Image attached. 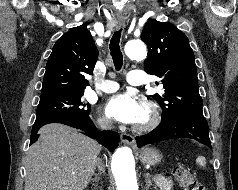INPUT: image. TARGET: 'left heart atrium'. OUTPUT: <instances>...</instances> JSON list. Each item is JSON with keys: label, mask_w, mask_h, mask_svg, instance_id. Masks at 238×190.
Listing matches in <instances>:
<instances>
[{"label": "left heart atrium", "mask_w": 238, "mask_h": 190, "mask_svg": "<svg viewBox=\"0 0 238 190\" xmlns=\"http://www.w3.org/2000/svg\"><path fill=\"white\" fill-rule=\"evenodd\" d=\"M141 105L131 93H121L113 96L106 104V114L122 123H135L139 117Z\"/></svg>", "instance_id": "1"}]
</instances>
